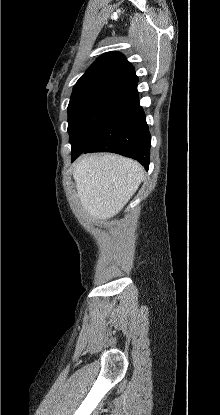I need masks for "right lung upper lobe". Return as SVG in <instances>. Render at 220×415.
<instances>
[{
	"label": "right lung upper lobe",
	"mask_w": 220,
	"mask_h": 415,
	"mask_svg": "<svg viewBox=\"0 0 220 415\" xmlns=\"http://www.w3.org/2000/svg\"><path fill=\"white\" fill-rule=\"evenodd\" d=\"M116 79L137 87L138 77L134 67L119 52H108L101 55L79 78L76 84L99 79Z\"/></svg>",
	"instance_id": "right-lung-upper-lobe-1"
}]
</instances>
